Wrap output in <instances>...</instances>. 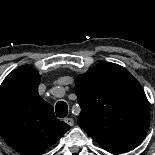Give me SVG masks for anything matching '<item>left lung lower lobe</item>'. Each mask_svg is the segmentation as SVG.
Returning a JSON list of instances; mask_svg holds the SVG:
<instances>
[{
	"label": "left lung lower lobe",
	"mask_w": 155,
	"mask_h": 155,
	"mask_svg": "<svg viewBox=\"0 0 155 155\" xmlns=\"http://www.w3.org/2000/svg\"><path fill=\"white\" fill-rule=\"evenodd\" d=\"M139 144L140 143L138 142H127V143L119 144L115 146H108L104 149L112 154H120L122 152H126L130 149L136 148Z\"/></svg>",
	"instance_id": "0a47b994"
}]
</instances>
